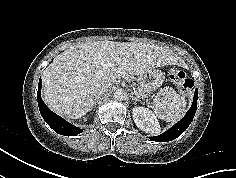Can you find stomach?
I'll list each match as a JSON object with an SVG mask.
<instances>
[{"mask_svg":"<svg viewBox=\"0 0 236 178\" xmlns=\"http://www.w3.org/2000/svg\"><path fill=\"white\" fill-rule=\"evenodd\" d=\"M165 76L159 69H152L138 76V87L142 95L150 94L158 89L164 82Z\"/></svg>","mask_w":236,"mask_h":178,"instance_id":"stomach-1","label":"stomach"}]
</instances>
